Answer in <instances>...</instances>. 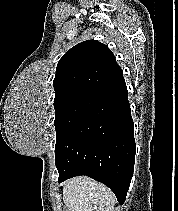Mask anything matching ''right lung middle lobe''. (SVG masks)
<instances>
[{
	"label": "right lung middle lobe",
	"instance_id": "dd1d6c3e",
	"mask_svg": "<svg viewBox=\"0 0 178 211\" xmlns=\"http://www.w3.org/2000/svg\"><path fill=\"white\" fill-rule=\"evenodd\" d=\"M95 103L94 101H76L55 108V150L69 136Z\"/></svg>",
	"mask_w": 178,
	"mask_h": 211
}]
</instances>
